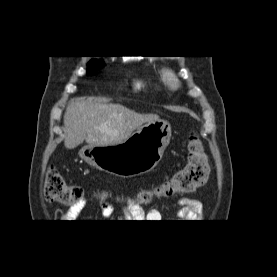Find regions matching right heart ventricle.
<instances>
[{
  "instance_id": "right-heart-ventricle-1",
  "label": "right heart ventricle",
  "mask_w": 277,
  "mask_h": 277,
  "mask_svg": "<svg viewBox=\"0 0 277 277\" xmlns=\"http://www.w3.org/2000/svg\"><path fill=\"white\" fill-rule=\"evenodd\" d=\"M158 82H160V80H159V79H158ZM136 87H137L138 89H140V88H145V87H146V85H145V84H143V83H137Z\"/></svg>"
}]
</instances>
